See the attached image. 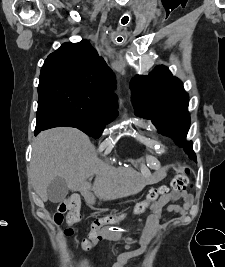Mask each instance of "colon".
Listing matches in <instances>:
<instances>
[{
  "label": "colon",
  "instance_id": "obj_1",
  "mask_svg": "<svg viewBox=\"0 0 225 267\" xmlns=\"http://www.w3.org/2000/svg\"><path fill=\"white\" fill-rule=\"evenodd\" d=\"M191 185L189 179V169L183 166H179L175 169V176L171 181L169 186L153 187L148 191L145 200L137 203L132 210V214H142L144 213L148 206L156 201L160 196L166 195L170 191L172 192H184ZM81 200L78 196H72L69 199L60 202L57 205L56 210L53 213L54 221L57 224H61L66 219L67 227L64 230V234L67 237H74L76 235L77 229L74 226L81 220L80 213ZM126 214L120 216L110 214L94 220L91 225V233L88 237L84 238L82 241L75 240L83 249H90L93 247L92 239L99 235L104 234L103 229L106 226H115L119 223L121 219L125 217Z\"/></svg>",
  "mask_w": 225,
  "mask_h": 267
}]
</instances>
